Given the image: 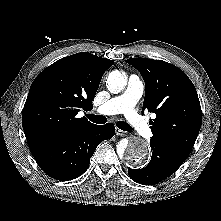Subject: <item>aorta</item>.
Returning a JSON list of instances; mask_svg holds the SVG:
<instances>
[{
  "label": "aorta",
  "mask_w": 221,
  "mask_h": 221,
  "mask_svg": "<svg viewBox=\"0 0 221 221\" xmlns=\"http://www.w3.org/2000/svg\"><path fill=\"white\" fill-rule=\"evenodd\" d=\"M127 84L125 73L114 70L107 78V88L113 93L121 92ZM118 154L131 166L141 167L149 158L150 149L147 142L141 138L123 139L117 145Z\"/></svg>",
  "instance_id": "1"
}]
</instances>
